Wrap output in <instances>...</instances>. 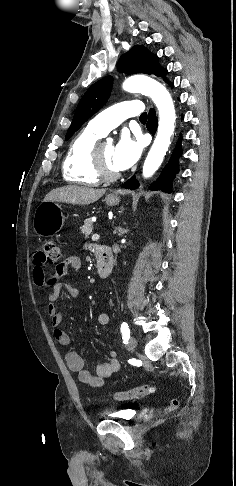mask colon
<instances>
[{"mask_svg": "<svg viewBox=\"0 0 236 486\" xmlns=\"http://www.w3.org/2000/svg\"><path fill=\"white\" fill-rule=\"evenodd\" d=\"M41 255L45 263L52 264L54 262H57L61 258L62 249L58 244L52 241H48L44 244ZM152 392H153V387L148 384H144L129 389L127 391L115 392L113 394V398L118 401L134 400V399L146 397L150 395ZM178 404H179L178 400L173 399L170 402L169 406L167 407V410L172 411L176 409L178 407Z\"/></svg>", "mask_w": 236, "mask_h": 486, "instance_id": "colon-1", "label": "colon"}]
</instances>
